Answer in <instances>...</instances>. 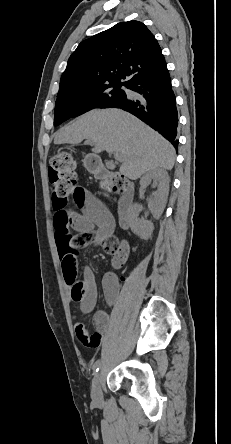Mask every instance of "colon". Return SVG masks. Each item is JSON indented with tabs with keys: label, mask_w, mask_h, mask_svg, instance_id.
Instances as JSON below:
<instances>
[{
	"label": "colon",
	"mask_w": 231,
	"mask_h": 444,
	"mask_svg": "<svg viewBox=\"0 0 231 444\" xmlns=\"http://www.w3.org/2000/svg\"><path fill=\"white\" fill-rule=\"evenodd\" d=\"M49 179L53 188V198L65 200L71 197L77 186L76 175L74 171V161L68 153H59L55 155L49 165ZM128 185L125 178L119 177L107 183V187L113 191H123ZM114 256V264L120 265L124 262L126 256L117 252ZM66 265L72 268L76 267V258L69 255L65 259ZM86 292L84 282L78 281L74 284L72 293L75 298H81Z\"/></svg>",
	"instance_id": "1"
}]
</instances>
